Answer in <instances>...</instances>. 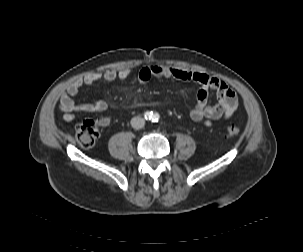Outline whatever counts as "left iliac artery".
<instances>
[{"label":"left iliac artery","mask_w":303,"mask_h":252,"mask_svg":"<svg viewBox=\"0 0 303 252\" xmlns=\"http://www.w3.org/2000/svg\"><path fill=\"white\" fill-rule=\"evenodd\" d=\"M158 119H159L158 114H154V116H153V120H154L155 122H158Z\"/></svg>","instance_id":"1"}]
</instances>
